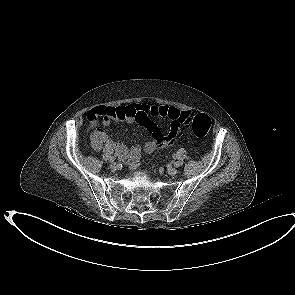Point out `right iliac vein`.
<instances>
[{
    "instance_id": "right-iliac-vein-1",
    "label": "right iliac vein",
    "mask_w": 295,
    "mask_h": 295,
    "mask_svg": "<svg viewBox=\"0 0 295 295\" xmlns=\"http://www.w3.org/2000/svg\"><path fill=\"white\" fill-rule=\"evenodd\" d=\"M110 167H111V169H117L118 165L116 162H111Z\"/></svg>"
}]
</instances>
